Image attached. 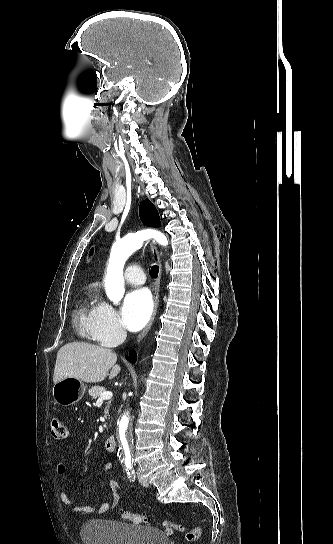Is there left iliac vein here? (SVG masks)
<instances>
[{
    "label": "left iliac vein",
    "mask_w": 333,
    "mask_h": 544,
    "mask_svg": "<svg viewBox=\"0 0 333 544\" xmlns=\"http://www.w3.org/2000/svg\"><path fill=\"white\" fill-rule=\"evenodd\" d=\"M137 475H138L139 482H140L143 486L148 487V486H149V482H148L145 478H143L142 475H141L139 472L137 473Z\"/></svg>",
    "instance_id": "1"
}]
</instances>
